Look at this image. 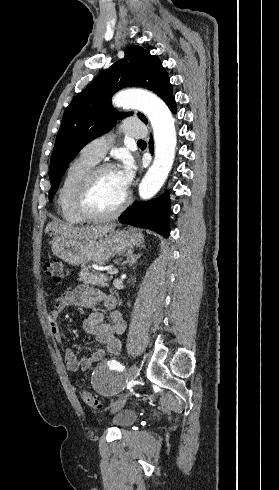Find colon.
<instances>
[{"label": "colon", "mask_w": 279, "mask_h": 490, "mask_svg": "<svg viewBox=\"0 0 279 490\" xmlns=\"http://www.w3.org/2000/svg\"><path fill=\"white\" fill-rule=\"evenodd\" d=\"M62 262L58 259L47 262L44 265V273L46 276L54 278L56 281L62 278ZM80 396L82 401L91 408H102L101 400L90 390L81 389Z\"/></svg>", "instance_id": "colon-1"}]
</instances>
